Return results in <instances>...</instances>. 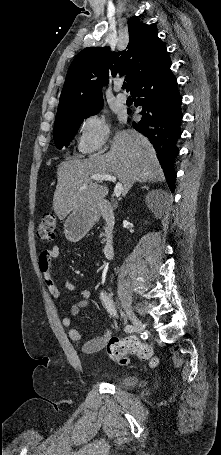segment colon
Listing matches in <instances>:
<instances>
[{
    "instance_id": "1",
    "label": "colon",
    "mask_w": 221,
    "mask_h": 455,
    "mask_svg": "<svg viewBox=\"0 0 221 455\" xmlns=\"http://www.w3.org/2000/svg\"><path fill=\"white\" fill-rule=\"evenodd\" d=\"M37 234L45 241L52 240L55 237L56 217L53 214H45L41 217L37 227ZM106 350L111 359L123 365L128 363L129 355H136L142 360L149 361L152 367H156L159 364V359L154 356L152 347L135 337H112L107 342Z\"/></svg>"
}]
</instances>
